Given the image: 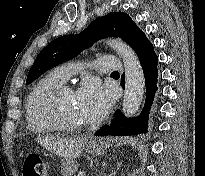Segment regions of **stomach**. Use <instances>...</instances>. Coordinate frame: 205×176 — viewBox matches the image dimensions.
Listing matches in <instances>:
<instances>
[{
  "instance_id": "stomach-1",
  "label": "stomach",
  "mask_w": 205,
  "mask_h": 176,
  "mask_svg": "<svg viewBox=\"0 0 205 176\" xmlns=\"http://www.w3.org/2000/svg\"><path fill=\"white\" fill-rule=\"evenodd\" d=\"M109 146V141L93 138L87 145V151L92 155L98 156L103 154ZM61 165L64 176H72L77 171L78 167L77 162L69 158H62Z\"/></svg>"
}]
</instances>
